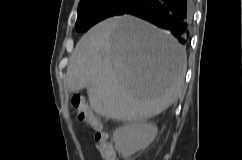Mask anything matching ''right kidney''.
<instances>
[{
	"label": "right kidney",
	"mask_w": 242,
	"mask_h": 160,
	"mask_svg": "<svg viewBox=\"0 0 242 160\" xmlns=\"http://www.w3.org/2000/svg\"><path fill=\"white\" fill-rule=\"evenodd\" d=\"M158 128L146 122H132L126 124L113 133L115 149L122 156L129 157L147 148L155 139Z\"/></svg>",
	"instance_id": "1"
}]
</instances>
